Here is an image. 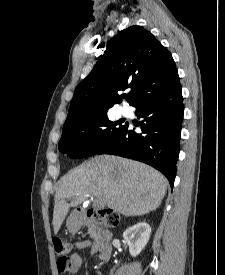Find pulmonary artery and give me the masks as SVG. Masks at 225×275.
<instances>
[{"label": "pulmonary artery", "mask_w": 225, "mask_h": 275, "mask_svg": "<svg viewBox=\"0 0 225 275\" xmlns=\"http://www.w3.org/2000/svg\"><path fill=\"white\" fill-rule=\"evenodd\" d=\"M121 113L126 115V114H128V110L127 109H122Z\"/></svg>", "instance_id": "pulmonary-artery-1"}]
</instances>
